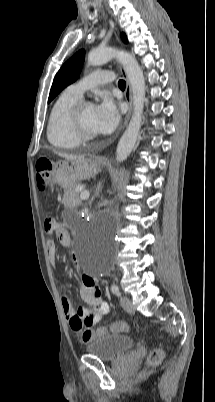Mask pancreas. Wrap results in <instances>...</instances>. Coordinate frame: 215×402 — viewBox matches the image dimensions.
<instances>
[{
	"mask_svg": "<svg viewBox=\"0 0 215 402\" xmlns=\"http://www.w3.org/2000/svg\"><path fill=\"white\" fill-rule=\"evenodd\" d=\"M79 184L66 188L63 196V204L66 207L78 206L81 201L79 198Z\"/></svg>",
	"mask_w": 215,
	"mask_h": 402,
	"instance_id": "cf45deb5",
	"label": "pancreas"
}]
</instances>
